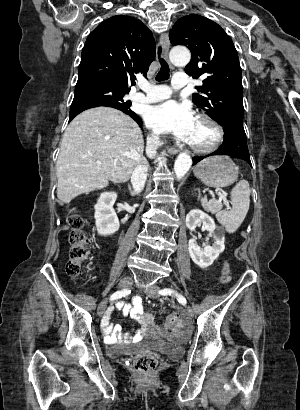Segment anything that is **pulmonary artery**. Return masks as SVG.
I'll use <instances>...</instances> for the list:
<instances>
[{"mask_svg":"<svg viewBox=\"0 0 300 410\" xmlns=\"http://www.w3.org/2000/svg\"><path fill=\"white\" fill-rule=\"evenodd\" d=\"M189 84V76L186 73H176L172 80L174 89L186 87ZM140 92L134 94L135 101L143 104L162 101L172 94V90L165 85H153L148 82L139 84Z\"/></svg>","mask_w":300,"mask_h":410,"instance_id":"pulmonary-artery-1","label":"pulmonary artery"}]
</instances>
